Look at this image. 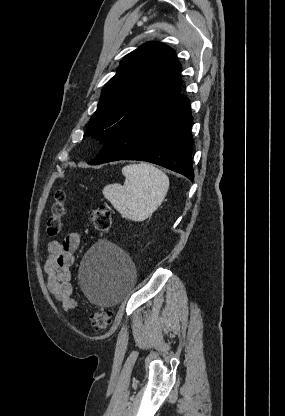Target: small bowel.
<instances>
[{"label":"small bowel","mask_w":285,"mask_h":416,"mask_svg":"<svg viewBox=\"0 0 285 416\" xmlns=\"http://www.w3.org/2000/svg\"><path fill=\"white\" fill-rule=\"evenodd\" d=\"M80 241V233L72 232L62 241H51L47 245V257L44 263L47 287L61 304L63 312L71 311L77 306L76 300L72 297L71 266Z\"/></svg>","instance_id":"obj_1"}]
</instances>
